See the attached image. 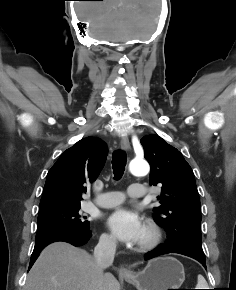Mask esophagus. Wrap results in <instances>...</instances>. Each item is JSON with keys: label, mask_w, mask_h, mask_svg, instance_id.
Listing matches in <instances>:
<instances>
[{"label": "esophagus", "mask_w": 236, "mask_h": 290, "mask_svg": "<svg viewBox=\"0 0 236 290\" xmlns=\"http://www.w3.org/2000/svg\"><path fill=\"white\" fill-rule=\"evenodd\" d=\"M120 145L123 150H129L130 149V142L127 136H122L120 140ZM119 273L123 275H129L131 274V271L123 266L120 267Z\"/></svg>", "instance_id": "1"}]
</instances>
